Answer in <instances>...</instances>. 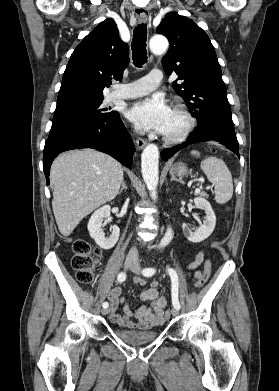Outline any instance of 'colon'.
I'll list each match as a JSON object with an SVG mask.
<instances>
[{
    "label": "colon",
    "instance_id": "5ec220e1",
    "mask_svg": "<svg viewBox=\"0 0 279 391\" xmlns=\"http://www.w3.org/2000/svg\"><path fill=\"white\" fill-rule=\"evenodd\" d=\"M74 256L72 267L76 278L82 283H91L94 279V271L98 263L100 249L91 245L85 238L77 239L73 244ZM212 264L209 259L205 261L204 270L195 283L196 288L203 287L211 275ZM171 315L170 310L165 313V318Z\"/></svg>",
    "mask_w": 279,
    "mask_h": 391
}]
</instances>
